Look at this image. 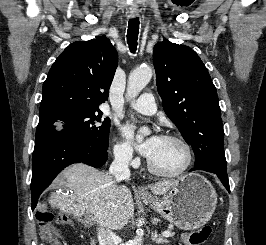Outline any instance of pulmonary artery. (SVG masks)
Listing matches in <instances>:
<instances>
[{
	"instance_id": "e3ab8cb5",
	"label": "pulmonary artery",
	"mask_w": 266,
	"mask_h": 245,
	"mask_svg": "<svg viewBox=\"0 0 266 245\" xmlns=\"http://www.w3.org/2000/svg\"><path fill=\"white\" fill-rule=\"evenodd\" d=\"M146 95H150V92L143 96H137L136 101L130 102L129 106L140 113L153 115L157 111L156 104L152 103L154 96Z\"/></svg>"
}]
</instances>
